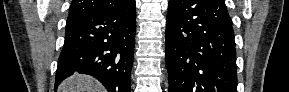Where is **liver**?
Returning a JSON list of instances; mask_svg holds the SVG:
<instances>
[{"label":"liver","mask_w":289,"mask_h":92,"mask_svg":"<svg viewBox=\"0 0 289 92\" xmlns=\"http://www.w3.org/2000/svg\"><path fill=\"white\" fill-rule=\"evenodd\" d=\"M104 87L93 77L75 73L59 86V92H104Z\"/></svg>","instance_id":"obj_1"}]
</instances>
